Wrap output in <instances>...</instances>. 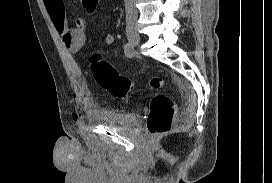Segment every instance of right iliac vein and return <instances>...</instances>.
Wrapping results in <instances>:
<instances>
[{
  "label": "right iliac vein",
  "mask_w": 272,
  "mask_h": 183,
  "mask_svg": "<svg viewBox=\"0 0 272 183\" xmlns=\"http://www.w3.org/2000/svg\"><path fill=\"white\" fill-rule=\"evenodd\" d=\"M127 37L132 45H138L140 42V37L134 30L129 31Z\"/></svg>",
  "instance_id": "right-iliac-vein-1"
}]
</instances>
